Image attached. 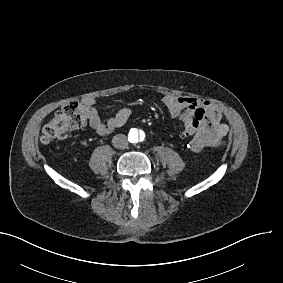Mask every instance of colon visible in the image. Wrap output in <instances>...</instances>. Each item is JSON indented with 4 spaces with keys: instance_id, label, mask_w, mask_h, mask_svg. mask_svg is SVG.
<instances>
[{
    "instance_id": "colon-1",
    "label": "colon",
    "mask_w": 283,
    "mask_h": 283,
    "mask_svg": "<svg viewBox=\"0 0 283 283\" xmlns=\"http://www.w3.org/2000/svg\"><path fill=\"white\" fill-rule=\"evenodd\" d=\"M76 105V100L71 99L68 105L63 106L53 114L41 133L43 143L65 139L73 132L85 128L87 118L76 108ZM184 122L186 123L184 127L186 134H191L196 130L197 118L191 119L190 116H185Z\"/></svg>"
}]
</instances>
